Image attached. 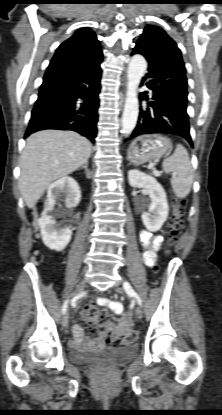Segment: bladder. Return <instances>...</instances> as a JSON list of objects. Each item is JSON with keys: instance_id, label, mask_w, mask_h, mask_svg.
Instances as JSON below:
<instances>
[{"instance_id": "31cf9c89", "label": "bladder", "mask_w": 222, "mask_h": 415, "mask_svg": "<svg viewBox=\"0 0 222 415\" xmlns=\"http://www.w3.org/2000/svg\"><path fill=\"white\" fill-rule=\"evenodd\" d=\"M137 354V345L128 343L118 347H102L96 349L71 347L68 352V357L71 362L76 364H91L104 360L114 365H121L133 360Z\"/></svg>"}]
</instances>
